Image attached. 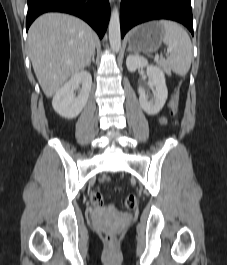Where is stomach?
Listing matches in <instances>:
<instances>
[{"label":"stomach","instance_id":"stomach-1","mask_svg":"<svg viewBox=\"0 0 227 265\" xmlns=\"http://www.w3.org/2000/svg\"><path fill=\"white\" fill-rule=\"evenodd\" d=\"M164 29L156 22H149L133 29L129 34V46L135 51L151 53L161 46Z\"/></svg>","mask_w":227,"mask_h":265}]
</instances>
